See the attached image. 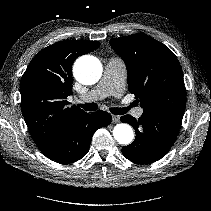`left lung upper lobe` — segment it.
I'll use <instances>...</instances> for the list:
<instances>
[{
	"label": "left lung upper lobe",
	"mask_w": 211,
	"mask_h": 211,
	"mask_svg": "<svg viewBox=\"0 0 211 211\" xmlns=\"http://www.w3.org/2000/svg\"><path fill=\"white\" fill-rule=\"evenodd\" d=\"M111 47L124 60L128 89L143 113L183 112L186 91L180 63L164 44L144 34L114 38Z\"/></svg>",
	"instance_id": "1"
}]
</instances>
